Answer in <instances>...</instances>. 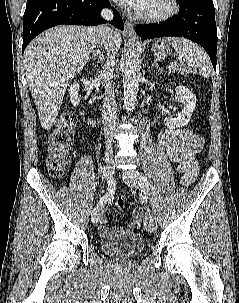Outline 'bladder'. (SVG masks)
Masks as SVG:
<instances>
[{
  "mask_svg": "<svg viewBox=\"0 0 239 303\" xmlns=\"http://www.w3.org/2000/svg\"><path fill=\"white\" fill-rule=\"evenodd\" d=\"M103 253L109 257L132 258L144 248V242L139 233H126L113 239L100 242Z\"/></svg>",
  "mask_w": 239,
  "mask_h": 303,
  "instance_id": "1",
  "label": "bladder"
}]
</instances>
